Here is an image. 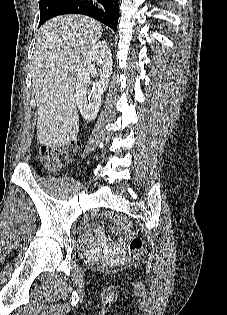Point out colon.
<instances>
[{"instance_id":"5ec220e1","label":"colon","mask_w":227,"mask_h":315,"mask_svg":"<svg viewBox=\"0 0 227 315\" xmlns=\"http://www.w3.org/2000/svg\"><path fill=\"white\" fill-rule=\"evenodd\" d=\"M79 151V143L72 141L62 147L41 146L39 149V159L46 165L49 170H57L70 159L75 157ZM114 221L128 234V248L125 253L127 258L138 256L142 248V239L132 235V224L123 216H115ZM121 256H114L105 261V265H112L121 262Z\"/></svg>"}]
</instances>
